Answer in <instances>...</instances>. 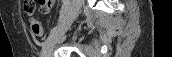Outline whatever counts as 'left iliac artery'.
<instances>
[{
    "label": "left iliac artery",
    "instance_id": "left-iliac-artery-1",
    "mask_svg": "<svg viewBox=\"0 0 172 57\" xmlns=\"http://www.w3.org/2000/svg\"><path fill=\"white\" fill-rule=\"evenodd\" d=\"M62 18H63V13H61L60 17H59V20H58V23H60L62 21ZM52 31V30H51Z\"/></svg>",
    "mask_w": 172,
    "mask_h": 57
}]
</instances>
